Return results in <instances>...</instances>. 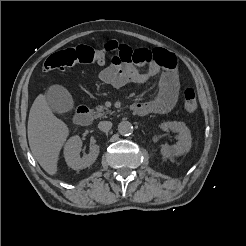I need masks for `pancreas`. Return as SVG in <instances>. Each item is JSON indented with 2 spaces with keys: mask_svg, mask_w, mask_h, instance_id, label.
I'll list each match as a JSON object with an SVG mask.
<instances>
[{
  "mask_svg": "<svg viewBox=\"0 0 246 246\" xmlns=\"http://www.w3.org/2000/svg\"><path fill=\"white\" fill-rule=\"evenodd\" d=\"M112 112L103 105H99L96 107V111H94V118H102L107 117V115H111Z\"/></svg>",
  "mask_w": 246,
  "mask_h": 246,
  "instance_id": "obj_1",
  "label": "pancreas"
}]
</instances>
